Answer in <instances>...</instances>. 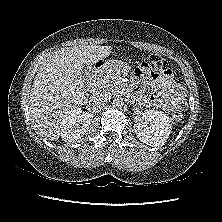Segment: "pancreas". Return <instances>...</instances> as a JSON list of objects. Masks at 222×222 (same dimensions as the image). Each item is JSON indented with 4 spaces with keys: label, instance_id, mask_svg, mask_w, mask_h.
I'll list each match as a JSON object with an SVG mask.
<instances>
[{
    "label": "pancreas",
    "instance_id": "pancreas-1",
    "mask_svg": "<svg viewBox=\"0 0 222 222\" xmlns=\"http://www.w3.org/2000/svg\"><path fill=\"white\" fill-rule=\"evenodd\" d=\"M117 75H110L105 80H103L99 85V92H102L106 95H111L116 92L117 87L114 84L115 78Z\"/></svg>",
    "mask_w": 222,
    "mask_h": 222
}]
</instances>
